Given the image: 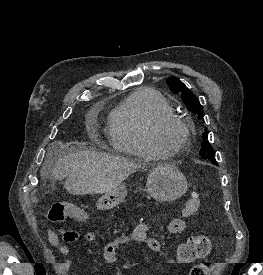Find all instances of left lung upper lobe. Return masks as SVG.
Listing matches in <instances>:
<instances>
[{
  "instance_id": "left-lung-upper-lobe-1",
  "label": "left lung upper lobe",
  "mask_w": 263,
  "mask_h": 275,
  "mask_svg": "<svg viewBox=\"0 0 263 275\" xmlns=\"http://www.w3.org/2000/svg\"><path fill=\"white\" fill-rule=\"evenodd\" d=\"M167 84L170 90L174 93H180L182 95V100L187 105V109L192 113L196 114L198 119H203L204 112L198 98L194 96V94L186 88L184 83H182L176 77H170L167 79ZM208 138V134L203 133L202 139L203 142L201 144L200 155L202 158L210 160L213 164L217 165V162L214 158V152L212 146L209 141L206 140Z\"/></svg>"
}]
</instances>
